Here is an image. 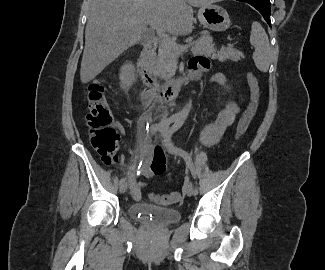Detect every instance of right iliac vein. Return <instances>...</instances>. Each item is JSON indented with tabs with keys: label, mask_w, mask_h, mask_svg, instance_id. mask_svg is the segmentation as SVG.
Listing matches in <instances>:
<instances>
[{
	"label": "right iliac vein",
	"mask_w": 325,
	"mask_h": 270,
	"mask_svg": "<svg viewBox=\"0 0 325 270\" xmlns=\"http://www.w3.org/2000/svg\"><path fill=\"white\" fill-rule=\"evenodd\" d=\"M127 187H128L127 182H124V183L120 184V187H119L120 193L126 192Z\"/></svg>",
	"instance_id": "obj_1"
}]
</instances>
